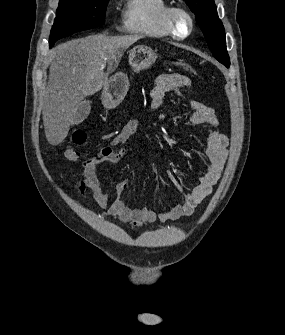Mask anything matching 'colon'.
<instances>
[{"mask_svg": "<svg viewBox=\"0 0 285 335\" xmlns=\"http://www.w3.org/2000/svg\"><path fill=\"white\" fill-rule=\"evenodd\" d=\"M177 64L180 68L196 74L195 69L188 61L180 59L177 61ZM86 138H87L86 132L84 130L79 129L73 133L72 141L75 145L79 146L84 144ZM65 156L70 161H79L81 159L80 152L75 148H68L65 152Z\"/></svg>", "mask_w": 285, "mask_h": 335, "instance_id": "obj_1", "label": "colon"}]
</instances>
